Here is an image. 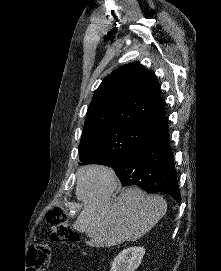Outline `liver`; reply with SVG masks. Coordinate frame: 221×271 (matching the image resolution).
I'll use <instances>...</instances> for the list:
<instances>
[{
	"label": "liver",
	"instance_id": "obj_1",
	"mask_svg": "<svg viewBox=\"0 0 221 271\" xmlns=\"http://www.w3.org/2000/svg\"><path fill=\"white\" fill-rule=\"evenodd\" d=\"M118 185L112 167L82 165L76 171L75 195L83 207L73 227L91 237L92 247L136 241L167 211L162 195H146L141 187H126L114 199Z\"/></svg>",
	"mask_w": 221,
	"mask_h": 271
}]
</instances>
